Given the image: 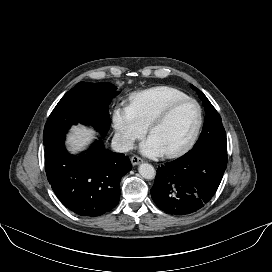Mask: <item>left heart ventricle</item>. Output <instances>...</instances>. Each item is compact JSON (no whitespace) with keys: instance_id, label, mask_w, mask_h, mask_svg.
<instances>
[{"instance_id":"left-heart-ventricle-1","label":"left heart ventricle","mask_w":272,"mask_h":272,"mask_svg":"<svg viewBox=\"0 0 272 272\" xmlns=\"http://www.w3.org/2000/svg\"><path fill=\"white\" fill-rule=\"evenodd\" d=\"M197 122V108L193 103H184L160 125L155 127L150 136L162 148L163 152L182 146L192 134Z\"/></svg>"}]
</instances>
